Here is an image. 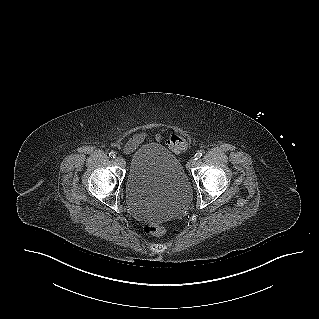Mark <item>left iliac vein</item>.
Instances as JSON below:
<instances>
[{
	"mask_svg": "<svg viewBox=\"0 0 319 319\" xmlns=\"http://www.w3.org/2000/svg\"><path fill=\"white\" fill-rule=\"evenodd\" d=\"M196 164L195 158H191L187 163V169L190 170Z\"/></svg>",
	"mask_w": 319,
	"mask_h": 319,
	"instance_id": "left-iliac-vein-1",
	"label": "left iliac vein"
}]
</instances>
